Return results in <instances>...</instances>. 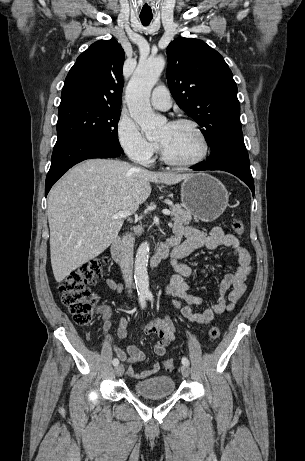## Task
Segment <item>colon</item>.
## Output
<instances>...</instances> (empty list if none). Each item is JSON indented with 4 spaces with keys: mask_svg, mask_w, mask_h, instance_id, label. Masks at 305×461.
Masks as SVG:
<instances>
[{
    "mask_svg": "<svg viewBox=\"0 0 305 461\" xmlns=\"http://www.w3.org/2000/svg\"><path fill=\"white\" fill-rule=\"evenodd\" d=\"M231 229L239 237L243 236L245 232L243 224L237 219L231 220ZM106 264L107 259L105 257L91 260L70 273L59 284L62 303L79 325H90L94 320L97 295L90 289V286L103 277ZM219 336L218 327H212L208 332L211 341L217 340ZM164 367L167 371H172L175 368L174 360H165Z\"/></svg>",
    "mask_w": 305,
    "mask_h": 461,
    "instance_id": "1",
    "label": "colon"
}]
</instances>
